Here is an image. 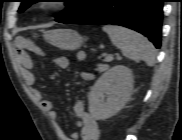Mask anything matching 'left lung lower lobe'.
I'll use <instances>...</instances> for the list:
<instances>
[{"label":"left lung lower lobe","mask_w":182,"mask_h":140,"mask_svg":"<svg viewBox=\"0 0 182 140\" xmlns=\"http://www.w3.org/2000/svg\"><path fill=\"white\" fill-rule=\"evenodd\" d=\"M165 0H102L75 24H113L136 30L161 46L162 7Z\"/></svg>","instance_id":"left-lung-lower-lobe-1"}]
</instances>
